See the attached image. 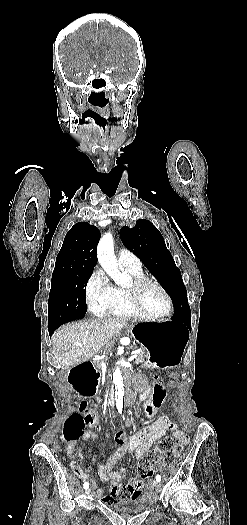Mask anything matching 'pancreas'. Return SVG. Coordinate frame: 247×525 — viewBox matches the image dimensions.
Wrapping results in <instances>:
<instances>
[{"label": "pancreas", "mask_w": 247, "mask_h": 525, "mask_svg": "<svg viewBox=\"0 0 247 525\" xmlns=\"http://www.w3.org/2000/svg\"><path fill=\"white\" fill-rule=\"evenodd\" d=\"M134 353H138V349H133V354ZM149 354V349L147 348H141L139 350V354L137 356V360H142V361H147L149 359V356L147 355ZM92 363H94L95 367H100V361L99 359H93Z\"/></svg>", "instance_id": "pancreas-1"}]
</instances>
